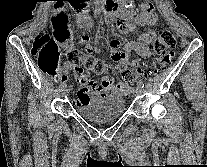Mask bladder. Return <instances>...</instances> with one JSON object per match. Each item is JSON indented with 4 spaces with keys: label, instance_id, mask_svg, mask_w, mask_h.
<instances>
[{
    "label": "bladder",
    "instance_id": "obj_1",
    "mask_svg": "<svg viewBox=\"0 0 207 167\" xmlns=\"http://www.w3.org/2000/svg\"><path fill=\"white\" fill-rule=\"evenodd\" d=\"M77 113L94 123H106L120 118L126 110V100L121 96L97 97L85 104L77 105Z\"/></svg>",
    "mask_w": 207,
    "mask_h": 167
}]
</instances>
